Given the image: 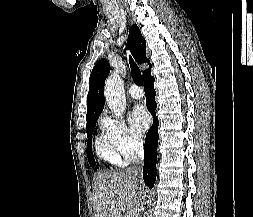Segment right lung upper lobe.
<instances>
[{"label": "right lung upper lobe", "instance_id": "right-lung-upper-lobe-1", "mask_svg": "<svg viewBox=\"0 0 253 217\" xmlns=\"http://www.w3.org/2000/svg\"><path fill=\"white\" fill-rule=\"evenodd\" d=\"M127 48L131 50L137 63L147 62L149 64V69L143 72V77H145L150 73L151 64L146 59V41L136 24L130 28ZM109 72L110 65L105 59H101L91 72L87 97V122L98 119L104 108V84Z\"/></svg>", "mask_w": 253, "mask_h": 217}]
</instances>
